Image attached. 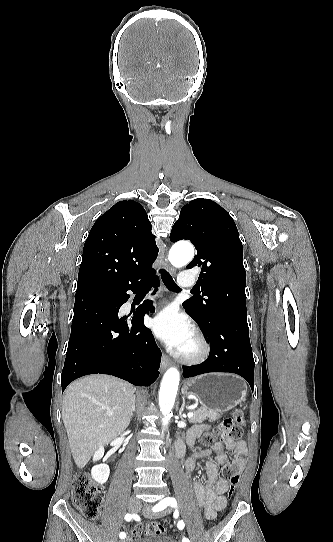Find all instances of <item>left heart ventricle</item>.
Returning a JSON list of instances; mask_svg holds the SVG:
<instances>
[{
	"mask_svg": "<svg viewBox=\"0 0 333 542\" xmlns=\"http://www.w3.org/2000/svg\"><path fill=\"white\" fill-rule=\"evenodd\" d=\"M196 348V345H195V338L194 336L186 343V345L184 346V348L182 349V351L180 352L181 354H190V353H193L194 350Z\"/></svg>",
	"mask_w": 333,
	"mask_h": 542,
	"instance_id": "b2bd125f",
	"label": "left heart ventricle"
}]
</instances>
